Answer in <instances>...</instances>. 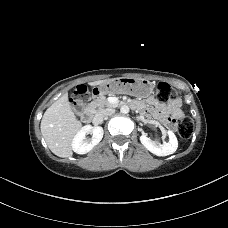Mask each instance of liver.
<instances>
[{
	"instance_id": "obj_1",
	"label": "liver",
	"mask_w": 228,
	"mask_h": 228,
	"mask_svg": "<svg viewBox=\"0 0 228 228\" xmlns=\"http://www.w3.org/2000/svg\"><path fill=\"white\" fill-rule=\"evenodd\" d=\"M105 81L107 80L95 81L89 85L97 86ZM81 126L71 109L66 93L45 111L40 128L49 149L55 155L67 158L73 155L72 140Z\"/></svg>"
}]
</instances>
